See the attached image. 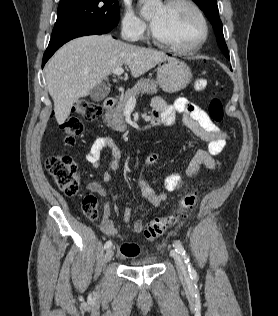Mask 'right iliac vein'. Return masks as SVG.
Returning <instances> with one entry per match:
<instances>
[{"instance_id":"63e3f726","label":"right iliac vein","mask_w":278,"mask_h":316,"mask_svg":"<svg viewBox=\"0 0 278 316\" xmlns=\"http://www.w3.org/2000/svg\"><path fill=\"white\" fill-rule=\"evenodd\" d=\"M113 254L114 253H113V250L111 248L107 249L105 256H104L105 263L109 262L112 259Z\"/></svg>"}]
</instances>
